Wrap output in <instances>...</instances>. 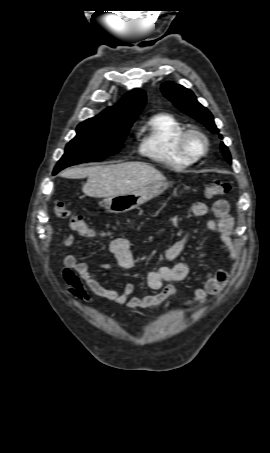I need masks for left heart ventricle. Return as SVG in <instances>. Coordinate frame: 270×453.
<instances>
[{"label":"left heart ventricle","mask_w":270,"mask_h":453,"mask_svg":"<svg viewBox=\"0 0 270 453\" xmlns=\"http://www.w3.org/2000/svg\"><path fill=\"white\" fill-rule=\"evenodd\" d=\"M203 140L199 137L193 136L189 139V147L195 152H199L203 149Z\"/></svg>","instance_id":"left-heart-ventricle-1"}]
</instances>
